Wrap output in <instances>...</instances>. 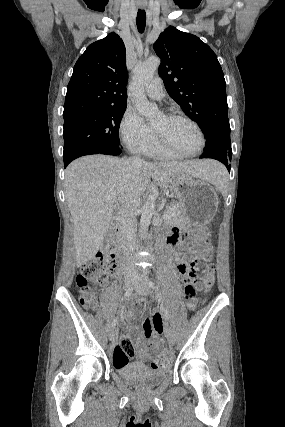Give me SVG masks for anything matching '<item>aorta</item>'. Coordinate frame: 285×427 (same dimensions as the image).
<instances>
[{
    "label": "aorta",
    "mask_w": 285,
    "mask_h": 427,
    "mask_svg": "<svg viewBox=\"0 0 285 427\" xmlns=\"http://www.w3.org/2000/svg\"><path fill=\"white\" fill-rule=\"evenodd\" d=\"M159 65L160 59L157 56H151L145 62L137 64L133 71L130 90L133 95L135 107L148 120L156 117L159 114V109L156 104L148 101L144 86L154 77ZM152 193H154V189L148 195L141 210L140 228L142 231L148 228L154 213L155 197Z\"/></svg>",
    "instance_id": "obj_1"
}]
</instances>
